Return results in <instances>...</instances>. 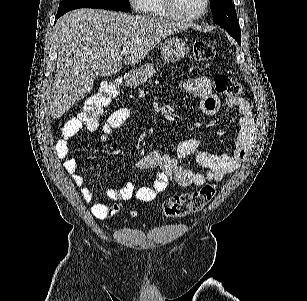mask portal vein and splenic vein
Returning <instances> with one entry per match:
<instances>
[{"label":"portal vein and splenic vein","instance_id":"portal-vein-and-splenic-vein-1","mask_svg":"<svg viewBox=\"0 0 307 301\" xmlns=\"http://www.w3.org/2000/svg\"><path fill=\"white\" fill-rule=\"evenodd\" d=\"M128 52H129V46H123L121 54H128Z\"/></svg>","mask_w":307,"mask_h":301}]
</instances>
